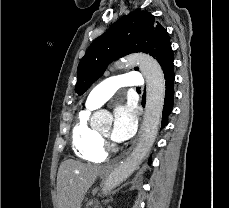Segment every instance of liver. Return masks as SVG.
<instances>
[{"mask_svg": "<svg viewBox=\"0 0 229 208\" xmlns=\"http://www.w3.org/2000/svg\"><path fill=\"white\" fill-rule=\"evenodd\" d=\"M109 174L101 166H89L76 160L62 162L57 176L58 208H80V204L97 176Z\"/></svg>", "mask_w": 229, "mask_h": 208, "instance_id": "1", "label": "liver"}]
</instances>
